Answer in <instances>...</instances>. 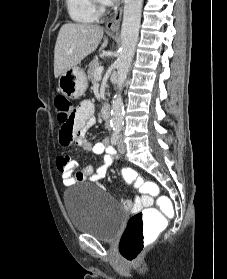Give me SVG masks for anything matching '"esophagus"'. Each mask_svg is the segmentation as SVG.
Instances as JSON below:
<instances>
[{
  "mask_svg": "<svg viewBox=\"0 0 227 279\" xmlns=\"http://www.w3.org/2000/svg\"><path fill=\"white\" fill-rule=\"evenodd\" d=\"M123 3L124 0H121L118 9L115 11L113 17L107 22L106 24V31L107 32H116L119 28V25L122 20V13H123Z\"/></svg>",
  "mask_w": 227,
  "mask_h": 279,
  "instance_id": "esophagus-1",
  "label": "esophagus"
}]
</instances>
